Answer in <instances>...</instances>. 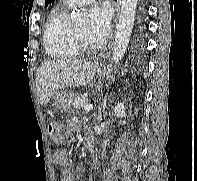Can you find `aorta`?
Segmentation results:
<instances>
[{
  "label": "aorta",
  "instance_id": "1",
  "mask_svg": "<svg viewBox=\"0 0 197 181\" xmlns=\"http://www.w3.org/2000/svg\"><path fill=\"white\" fill-rule=\"evenodd\" d=\"M137 1L138 0H122L119 23L112 52V60L115 63L123 58L129 45L135 20ZM71 19L74 23H81L84 20V14L80 10L75 9L71 13Z\"/></svg>",
  "mask_w": 197,
  "mask_h": 181
}]
</instances>
